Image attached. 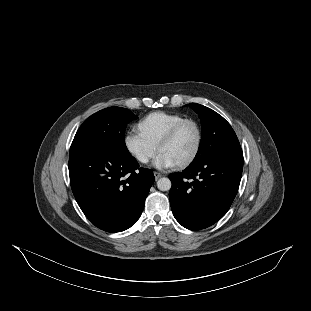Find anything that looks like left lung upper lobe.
<instances>
[{"label":"left lung upper lobe","mask_w":311,"mask_h":311,"mask_svg":"<svg viewBox=\"0 0 311 311\" xmlns=\"http://www.w3.org/2000/svg\"><path fill=\"white\" fill-rule=\"evenodd\" d=\"M189 106L199 115L202 124L201 143L192 163L225 150L241 148L234 130L221 115L197 103H190Z\"/></svg>","instance_id":"5c2ea615"}]
</instances>
